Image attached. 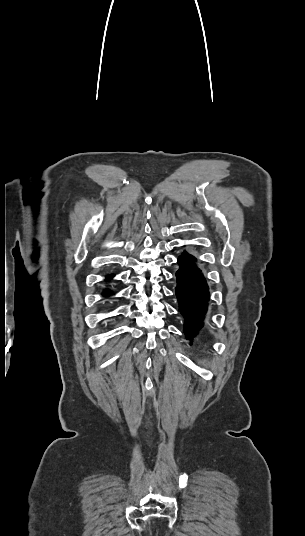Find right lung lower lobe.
<instances>
[{
    "label": "right lung lower lobe",
    "instance_id": "right-lung-lower-lobe-1",
    "mask_svg": "<svg viewBox=\"0 0 305 536\" xmlns=\"http://www.w3.org/2000/svg\"><path fill=\"white\" fill-rule=\"evenodd\" d=\"M112 277H114V275H112V276L109 275V276L106 277V279H110V278H112ZM109 294H110V292H109L108 289L104 290V292H103V296H109Z\"/></svg>",
    "mask_w": 305,
    "mask_h": 536
}]
</instances>
